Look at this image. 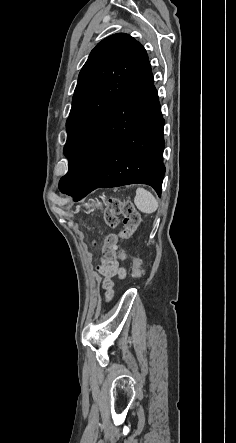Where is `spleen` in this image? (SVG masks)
Returning <instances> with one entry per match:
<instances>
[{
    "mask_svg": "<svg viewBox=\"0 0 236 443\" xmlns=\"http://www.w3.org/2000/svg\"><path fill=\"white\" fill-rule=\"evenodd\" d=\"M134 203L141 212L146 214H151L158 208V201L156 198L151 192L144 188H138L136 190Z\"/></svg>",
    "mask_w": 236,
    "mask_h": 443,
    "instance_id": "spleen-1",
    "label": "spleen"
}]
</instances>
